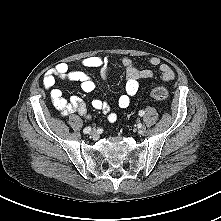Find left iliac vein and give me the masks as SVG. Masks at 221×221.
Returning <instances> with one entry per match:
<instances>
[{
  "mask_svg": "<svg viewBox=\"0 0 221 221\" xmlns=\"http://www.w3.org/2000/svg\"><path fill=\"white\" fill-rule=\"evenodd\" d=\"M145 131H146L145 125H140V126L138 127V133H139V134H143V133H145Z\"/></svg>",
  "mask_w": 221,
  "mask_h": 221,
  "instance_id": "1",
  "label": "left iliac vein"
}]
</instances>
